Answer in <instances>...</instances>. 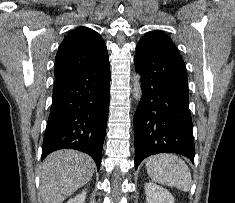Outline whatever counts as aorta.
<instances>
[{
    "label": "aorta",
    "mask_w": 235,
    "mask_h": 203,
    "mask_svg": "<svg viewBox=\"0 0 235 203\" xmlns=\"http://www.w3.org/2000/svg\"><path fill=\"white\" fill-rule=\"evenodd\" d=\"M133 92L135 100L140 101L142 98V89H141V76L139 74L134 75Z\"/></svg>",
    "instance_id": "762f6f07"
}]
</instances>
